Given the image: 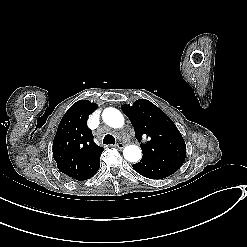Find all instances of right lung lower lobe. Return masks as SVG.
Returning a JSON list of instances; mask_svg holds the SVG:
<instances>
[{"mask_svg":"<svg viewBox=\"0 0 247 247\" xmlns=\"http://www.w3.org/2000/svg\"><path fill=\"white\" fill-rule=\"evenodd\" d=\"M99 167H100V160L84 176L76 180L84 181L91 178L99 170Z\"/></svg>","mask_w":247,"mask_h":247,"instance_id":"1","label":"right lung lower lobe"}]
</instances>
